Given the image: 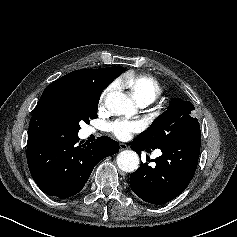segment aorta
Here are the masks:
<instances>
[{
    "label": "aorta",
    "instance_id": "762f6f07",
    "mask_svg": "<svg viewBox=\"0 0 237 237\" xmlns=\"http://www.w3.org/2000/svg\"><path fill=\"white\" fill-rule=\"evenodd\" d=\"M106 108L113 114L131 116L136 113L133 101L122 92L115 91L107 95ZM117 165L124 172H133L139 166V157L132 150H124L117 155Z\"/></svg>",
    "mask_w": 237,
    "mask_h": 237
}]
</instances>
